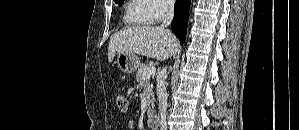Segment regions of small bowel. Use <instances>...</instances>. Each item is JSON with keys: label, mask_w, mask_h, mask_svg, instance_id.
Returning a JSON list of instances; mask_svg holds the SVG:
<instances>
[{"label": "small bowel", "mask_w": 299, "mask_h": 130, "mask_svg": "<svg viewBox=\"0 0 299 130\" xmlns=\"http://www.w3.org/2000/svg\"><path fill=\"white\" fill-rule=\"evenodd\" d=\"M134 127H135V122L133 120L127 122L126 130L133 129Z\"/></svg>", "instance_id": "1"}]
</instances>
